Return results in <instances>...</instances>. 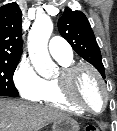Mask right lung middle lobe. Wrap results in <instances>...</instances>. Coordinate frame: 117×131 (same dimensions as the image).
Listing matches in <instances>:
<instances>
[{
	"label": "right lung middle lobe",
	"instance_id": "obj_1",
	"mask_svg": "<svg viewBox=\"0 0 117 131\" xmlns=\"http://www.w3.org/2000/svg\"><path fill=\"white\" fill-rule=\"evenodd\" d=\"M19 60H0V96H18L13 74Z\"/></svg>",
	"mask_w": 117,
	"mask_h": 131
}]
</instances>
